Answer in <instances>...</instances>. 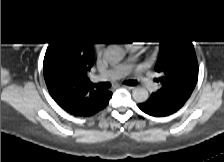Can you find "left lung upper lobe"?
Instances as JSON below:
<instances>
[{"label": "left lung upper lobe", "instance_id": "5c2ea615", "mask_svg": "<svg viewBox=\"0 0 224 162\" xmlns=\"http://www.w3.org/2000/svg\"><path fill=\"white\" fill-rule=\"evenodd\" d=\"M155 71L162 88L154 93L163 100L186 102L198 80V63L192 43L174 35H162Z\"/></svg>", "mask_w": 224, "mask_h": 162}]
</instances>
